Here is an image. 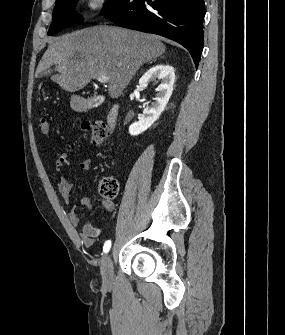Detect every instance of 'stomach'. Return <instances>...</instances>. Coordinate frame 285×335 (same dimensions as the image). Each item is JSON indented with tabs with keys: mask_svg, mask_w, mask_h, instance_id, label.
<instances>
[{
	"mask_svg": "<svg viewBox=\"0 0 285 335\" xmlns=\"http://www.w3.org/2000/svg\"><path fill=\"white\" fill-rule=\"evenodd\" d=\"M72 104H73L74 108H76V110H80V106H81L80 98H74Z\"/></svg>",
	"mask_w": 285,
	"mask_h": 335,
	"instance_id": "stomach-1",
	"label": "stomach"
}]
</instances>
